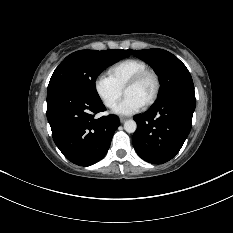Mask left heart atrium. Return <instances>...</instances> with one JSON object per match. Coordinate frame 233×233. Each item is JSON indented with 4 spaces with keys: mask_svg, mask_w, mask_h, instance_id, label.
I'll return each instance as SVG.
<instances>
[{
    "mask_svg": "<svg viewBox=\"0 0 233 233\" xmlns=\"http://www.w3.org/2000/svg\"><path fill=\"white\" fill-rule=\"evenodd\" d=\"M144 104L132 96L125 98L115 107L114 112L119 115H132L142 109Z\"/></svg>",
    "mask_w": 233,
    "mask_h": 233,
    "instance_id": "left-heart-atrium-1",
    "label": "left heart atrium"
}]
</instances>
